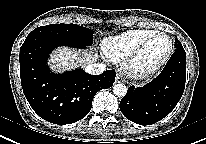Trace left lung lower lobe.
<instances>
[{"label":"left lung lower lobe","instance_id":"1","mask_svg":"<svg viewBox=\"0 0 206 144\" xmlns=\"http://www.w3.org/2000/svg\"><path fill=\"white\" fill-rule=\"evenodd\" d=\"M162 72L143 87L131 86L120 101L123 115L140 125L154 124L166 117L180 100L186 79V53L181 43Z\"/></svg>","mask_w":206,"mask_h":144}]
</instances>
